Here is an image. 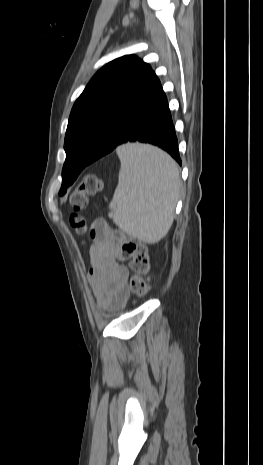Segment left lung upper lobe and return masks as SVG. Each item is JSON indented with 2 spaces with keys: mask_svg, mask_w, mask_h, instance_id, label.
I'll list each match as a JSON object with an SVG mask.
<instances>
[{
  "mask_svg": "<svg viewBox=\"0 0 263 465\" xmlns=\"http://www.w3.org/2000/svg\"><path fill=\"white\" fill-rule=\"evenodd\" d=\"M151 67L135 56L117 58L101 68L76 100L68 121L64 149L66 158L86 162L115 114L140 91ZM81 165V164H80ZM74 168L77 176L85 165ZM62 176L60 195L71 184Z\"/></svg>",
  "mask_w": 263,
  "mask_h": 465,
  "instance_id": "left-lung-upper-lobe-1",
  "label": "left lung upper lobe"
}]
</instances>
